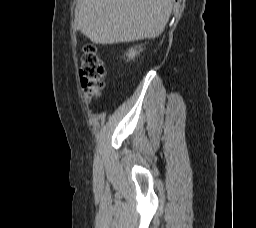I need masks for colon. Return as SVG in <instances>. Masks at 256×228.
<instances>
[{
  "instance_id": "5ec220e1",
  "label": "colon",
  "mask_w": 256,
  "mask_h": 228,
  "mask_svg": "<svg viewBox=\"0 0 256 228\" xmlns=\"http://www.w3.org/2000/svg\"><path fill=\"white\" fill-rule=\"evenodd\" d=\"M105 68L95 46L84 47L81 57L80 84L87 101L96 98L103 88Z\"/></svg>"
}]
</instances>
